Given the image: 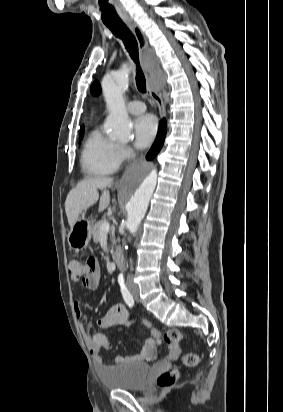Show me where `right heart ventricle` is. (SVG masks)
Segmentation results:
<instances>
[{
  "instance_id": "1",
  "label": "right heart ventricle",
  "mask_w": 283,
  "mask_h": 412,
  "mask_svg": "<svg viewBox=\"0 0 283 412\" xmlns=\"http://www.w3.org/2000/svg\"><path fill=\"white\" fill-rule=\"evenodd\" d=\"M122 160L119 144L105 137L100 128L90 133L81 154V164L86 174H113L120 168Z\"/></svg>"
}]
</instances>
